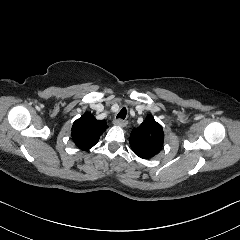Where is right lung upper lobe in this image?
Returning a JSON list of instances; mask_svg holds the SVG:
<instances>
[{"mask_svg":"<svg viewBox=\"0 0 240 240\" xmlns=\"http://www.w3.org/2000/svg\"><path fill=\"white\" fill-rule=\"evenodd\" d=\"M106 129V121L97 120L91 113L86 112L73 123L72 138L80 149H90Z\"/></svg>","mask_w":240,"mask_h":240,"instance_id":"cb5924a9","label":"right lung upper lobe"}]
</instances>
